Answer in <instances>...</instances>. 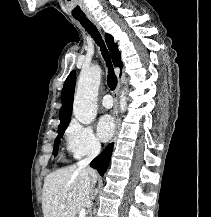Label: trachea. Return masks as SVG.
<instances>
[{
	"instance_id": "obj_1",
	"label": "trachea",
	"mask_w": 211,
	"mask_h": 217,
	"mask_svg": "<svg viewBox=\"0 0 211 217\" xmlns=\"http://www.w3.org/2000/svg\"><path fill=\"white\" fill-rule=\"evenodd\" d=\"M76 19L81 23V25L85 28V30L91 35V37L95 40L97 45L100 46L103 58L106 61V65L108 67V76H107L108 87L111 90H115L117 86V77L114 73V69L111 63L109 52L106 49V46L104 44V41L102 40V37L99 31L97 30L95 25L86 16L81 17V18H76Z\"/></svg>"
}]
</instances>
